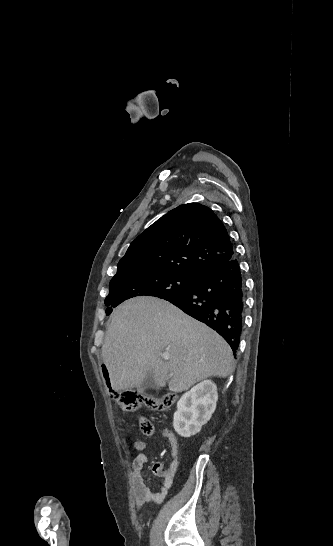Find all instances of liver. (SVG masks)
I'll return each mask as SVG.
<instances>
[{
	"instance_id": "6515ba94",
	"label": "liver",
	"mask_w": 333,
	"mask_h": 546,
	"mask_svg": "<svg viewBox=\"0 0 333 546\" xmlns=\"http://www.w3.org/2000/svg\"><path fill=\"white\" fill-rule=\"evenodd\" d=\"M162 352L170 359L163 360ZM102 359L115 392L138 387L149 372L158 387L168 382L180 392L233 371L232 350L220 335L153 297L129 299L113 311Z\"/></svg>"
}]
</instances>
